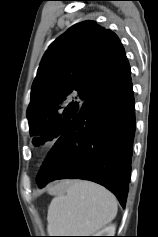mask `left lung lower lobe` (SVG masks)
<instances>
[{"instance_id": "1", "label": "left lung lower lobe", "mask_w": 158, "mask_h": 237, "mask_svg": "<svg viewBox=\"0 0 158 237\" xmlns=\"http://www.w3.org/2000/svg\"><path fill=\"white\" fill-rule=\"evenodd\" d=\"M134 134L129 73L93 96L73 117L44 162L38 185L62 178L91 180L108 188L125 207Z\"/></svg>"}]
</instances>
